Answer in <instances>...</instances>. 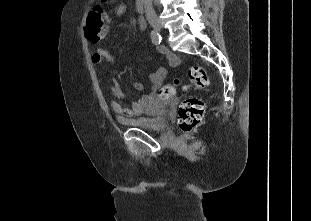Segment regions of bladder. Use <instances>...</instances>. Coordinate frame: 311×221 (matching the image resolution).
Returning a JSON list of instances; mask_svg holds the SVG:
<instances>
[{"mask_svg":"<svg viewBox=\"0 0 311 221\" xmlns=\"http://www.w3.org/2000/svg\"><path fill=\"white\" fill-rule=\"evenodd\" d=\"M168 102L160 101L153 108H146L143 115L132 119L130 122L148 132H159L170 123Z\"/></svg>","mask_w":311,"mask_h":221,"instance_id":"obj_1","label":"bladder"}]
</instances>
